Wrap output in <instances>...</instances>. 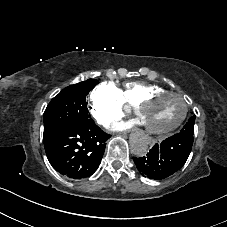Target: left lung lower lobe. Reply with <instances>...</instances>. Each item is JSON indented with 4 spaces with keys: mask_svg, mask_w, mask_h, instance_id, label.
Segmentation results:
<instances>
[{
    "mask_svg": "<svg viewBox=\"0 0 227 227\" xmlns=\"http://www.w3.org/2000/svg\"><path fill=\"white\" fill-rule=\"evenodd\" d=\"M193 136L179 133L155 144L146 156L134 163L140 173L155 180L167 178L178 171L187 161L192 149Z\"/></svg>",
    "mask_w": 227,
    "mask_h": 227,
    "instance_id": "left-lung-lower-lobe-1",
    "label": "left lung lower lobe"
}]
</instances>
